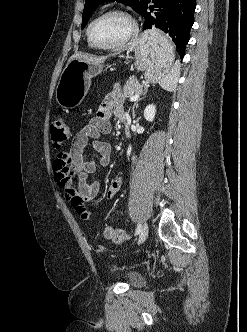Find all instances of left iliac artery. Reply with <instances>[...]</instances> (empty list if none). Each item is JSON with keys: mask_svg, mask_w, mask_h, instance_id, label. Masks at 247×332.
<instances>
[{"mask_svg": "<svg viewBox=\"0 0 247 332\" xmlns=\"http://www.w3.org/2000/svg\"><path fill=\"white\" fill-rule=\"evenodd\" d=\"M140 231H141V224L138 223L137 228H136V230H135V235L139 234Z\"/></svg>", "mask_w": 247, "mask_h": 332, "instance_id": "1", "label": "left iliac artery"}]
</instances>
